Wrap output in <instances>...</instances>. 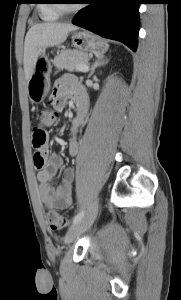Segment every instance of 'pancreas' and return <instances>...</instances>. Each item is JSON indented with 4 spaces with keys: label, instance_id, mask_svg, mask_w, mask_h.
I'll return each mask as SVG.
<instances>
[{
    "label": "pancreas",
    "instance_id": "obj_1",
    "mask_svg": "<svg viewBox=\"0 0 181 300\" xmlns=\"http://www.w3.org/2000/svg\"><path fill=\"white\" fill-rule=\"evenodd\" d=\"M89 60L88 54L77 50H65L58 54L53 64L58 69H66L68 71H79V65H87Z\"/></svg>",
    "mask_w": 181,
    "mask_h": 300
}]
</instances>
